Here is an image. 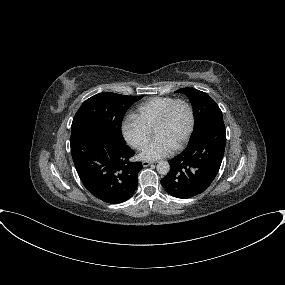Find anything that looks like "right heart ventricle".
<instances>
[{"label": "right heart ventricle", "mask_w": 285, "mask_h": 285, "mask_svg": "<svg viewBox=\"0 0 285 285\" xmlns=\"http://www.w3.org/2000/svg\"><path fill=\"white\" fill-rule=\"evenodd\" d=\"M175 98L173 97H153L142 103H140L135 111L134 115L150 130L155 126L156 121L163 112V110L169 105Z\"/></svg>", "instance_id": "1"}]
</instances>
